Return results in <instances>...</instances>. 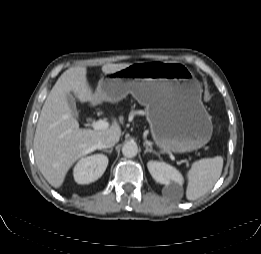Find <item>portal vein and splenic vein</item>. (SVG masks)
I'll list each match as a JSON object with an SVG mask.
<instances>
[{"mask_svg": "<svg viewBox=\"0 0 261 254\" xmlns=\"http://www.w3.org/2000/svg\"><path fill=\"white\" fill-rule=\"evenodd\" d=\"M109 127V123L105 120H98L92 123V128L94 130H104Z\"/></svg>", "mask_w": 261, "mask_h": 254, "instance_id": "obj_1", "label": "portal vein and splenic vein"}]
</instances>
